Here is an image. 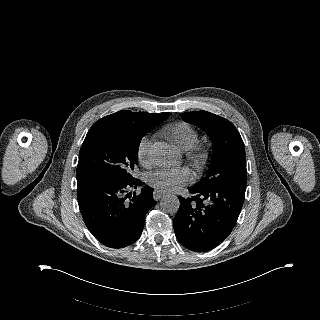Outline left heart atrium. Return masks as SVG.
<instances>
[{"label": "left heart atrium", "mask_w": 320, "mask_h": 320, "mask_svg": "<svg viewBox=\"0 0 320 320\" xmlns=\"http://www.w3.org/2000/svg\"><path fill=\"white\" fill-rule=\"evenodd\" d=\"M189 178V172L184 168H162L149 175V181L162 191H176Z\"/></svg>", "instance_id": "obj_1"}]
</instances>
